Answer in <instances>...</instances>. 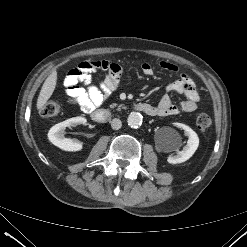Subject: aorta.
Here are the masks:
<instances>
[{"label": "aorta", "instance_id": "1", "mask_svg": "<svg viewBox=\"0 0 247 247\" xmlns=\"http://www.w3.org/2000/svg\"><path fill=\"white\" fill-rule=\"evenodd\" d=\"M143 116L139 112H131L127 118L128 125L137 129L142 125Z\"/></svg>", "mask_w": 247, "mask_h": 247}]
</instances>
